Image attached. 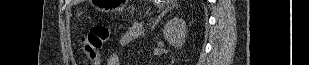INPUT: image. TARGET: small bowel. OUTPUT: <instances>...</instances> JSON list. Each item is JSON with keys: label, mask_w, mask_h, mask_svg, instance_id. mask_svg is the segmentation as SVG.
<instances>
[{"label": "small bowel", "mask_w": 309, "mask_h": 65, "mask_svg": "<svg viewBox=\"0 0 309 65\" xmlns=\"http://www.w3.org/2000/svg\"><path fill=\"white\" fill-rule=\"evenodd\" d=\"M143 34V26L141 23H135L129 27L119 38L118 45L120 47L127 46L133 40L137 39ZM121 58L118 54H111L108 57L107 65H121Z\"/></svg>", "instance_id": "c3829d8e"}]
</instances>
